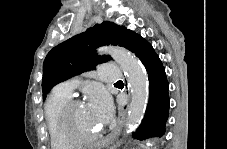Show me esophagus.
Returning a JSON list of instances; mask_svg holds the SVG:
<instances>
[{
	"instance_id": "esophagus-1",
	"label": "esophagus",
	"mask_w": 227,
	"mask_h": 149,
	"mask_svg": "<svg viewBox=\"0 0 227 149\" xmlns=\"http://www.w3.org/2000/svg\"><path fill=\"white\" fill-rule=\"evenodd\" d=\"M125 120V113H121L117 119V123L109 137H104V140H101V145H110V142H113V138L116 137L123 126Z\"/></svg>"
}]
</instances>
